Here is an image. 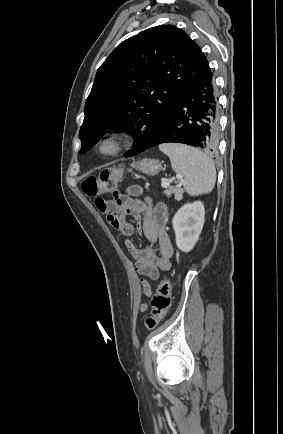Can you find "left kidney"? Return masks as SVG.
<instances>
[{
	"label": "left kidney",
	"instance_id": "5707ae66",
	"mask_svg": "<svg viewBox=\"0 0 283 434\" xmlns=\"http://www.w3.org/2000/svg\"><path fill=\"white\" fill-rule=\"evenodd\" d=\"M205 208L201 201L187 203L174 215L172 225L176 245L183 252L191 251L197 243L204 225Z\"/></svg>",
	"mask_w": 283,
	"mask_h": 434
}]
</instances>
